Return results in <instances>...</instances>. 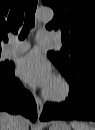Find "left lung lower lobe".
<instances>
[{
	"label": "left lung lower lobe",
	"instance_id": "0a47b994",
	"mask_svg": "<svg viewBox=\"0 0 95 130\" xmlns=\"http://www.w3.org/2000/svg\"><path fill=\"white\" fill-rule=\"evenodd\" d=\"M60 71L70 84L69 98L63 103H46L40 119L95 121V65L85 64L71 71Z\"/></svg>",
	"mask_w": 95,
	"mask_h": 130
}]
</instances>
